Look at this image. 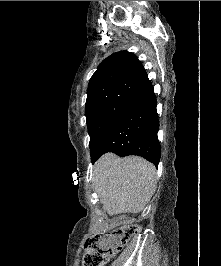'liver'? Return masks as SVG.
Returning a JSON list of instances; mask_svg holds the SVG:
<instances>
[{
  "instance_id": "liver-1",
  "label": "liver",
  "mask_w": 221,
  "mask_h": 266,
  "mask_svg": "<svg viewBox=\"0 0 221 266\" xmlns=\"http://www.w3.org/2000/svg\"><path fill=\"white\" fill-rule=\"evenodd\" d=\"M92 182L109 215L139 213L156 191V168L137 156L107 153L95 163Z\"/></svg>"
}]
</instances>
